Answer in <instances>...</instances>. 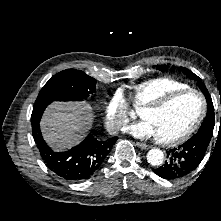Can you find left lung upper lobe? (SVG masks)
Masks as SVG:
<instances>
[{
    "instance_id": "left-lung-upper-lobe-1",
    "label": "left lung upper lobe",
    "mask_w": 221,
    "mask_h": 221,
    "mask_svg": "<svg viewBox=\"0 0 221 221\" xmlns=\"http://www.w3.org/2000/svg\"><path fill=\"white\" fill-rule=\"evenodd\" d=\"M166 68H168V66L160 67L159 70H163ZM180 69L182 70L183 73L189 76V78L197 81V85L199 86V88L201 89V91L203 92V94L205 95L207 99L208 112L197 134H202L204 136L209 137L208 141L210 142L212 133H213L214 124H215L214 107H213L211 96L208 90L206 89V86L201 82V79L197 75H195L192 71H190L187 68L180 67Z\"/></svg>"
}]
</instances>
